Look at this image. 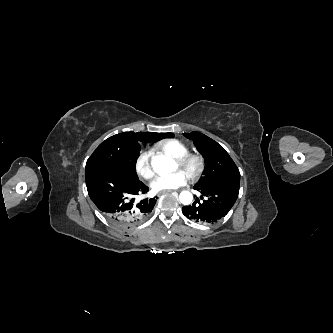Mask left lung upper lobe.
I'll use <instances>...</instances> for the list:
<instances>
[{
	"label": "left lung upper lobe",
	"mask_w": 333,
	"mask_h": 333,
	"mask_svg": "<svg viewBox=\"0 0 333 333\" xmlns=\"http://www.w3.org/2000/svg\"><path fill=\"white\" fill-rule=\"evenodd\" d=\"M184 136L193 141L205 160L203 177L195 184V188H212L240 183V173L237 166L220 144L195 131L184 133ZM228 199V195L224 194L218 198L217 202H227Z\"/></svg>",
	"instance_id": "left-lung-upper-lobe-1"
}]
</instances>
